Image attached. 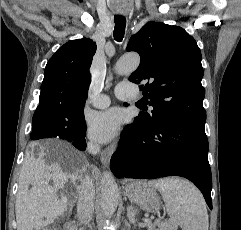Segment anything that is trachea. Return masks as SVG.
Returning a JSON list of instances; mask_svg holds the SVG:
<instances>
[{
  "label": "trachea",
  "instance_id": "3493384b",
  "mask_svg": "<svg viewBox=\"0 0 241 230\" xmlns=\"http://www.w3.org/2000/svg\"><path fill=\"white\" fill-rule=\"evenodd\" d=\"M114 23V39L121 42L125 34L126 18L124 16L116 15L114 16Z\"/></svg>",
  "mask_w": 241,
  "mask_h": 230
}]
</instances>
